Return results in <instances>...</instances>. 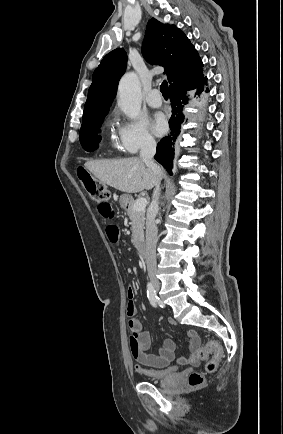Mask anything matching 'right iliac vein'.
I'll return each mask as SVG.
<instances>
[{
    "mask_svg": "<svg viewBox=\"0 0 283 434\" xmlns=\"http://www.w3.org/2000/svg\"><path fill=\"white\" fill-rule=\"evenodd\" d=\"M153 287H154V289H155L156 291H158L159 288H160V285H159L158 282H153Z\"/></svg>",
    "mask_w": 283,
    "mask_h": 434,
    "instance_id": "63e3f726",
    "label": "right iliac vein"
}]
</instances>
